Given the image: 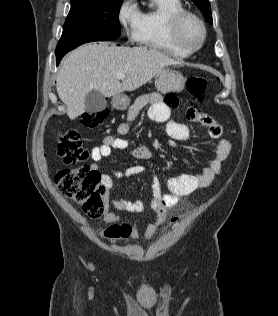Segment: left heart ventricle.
Wrapping results in <instances>:
<instances>
[{
	"instance_id": "b2bd125f",
	"label": "left heart ventricle",
	"mask_w": 278,
	"mask_h": 316,
	"mask_svg": "<svg viewBox=\"0 0 278 316\" xmlns=\"http://www.w3.org/2000/svg\"><path fill=\"white\" fill-rule=\"evenodd\" d=\"M187 33L192 41H197L200 37L199 28L192 22H190L187 26Z\"/></svg>"
}]
</instances>
